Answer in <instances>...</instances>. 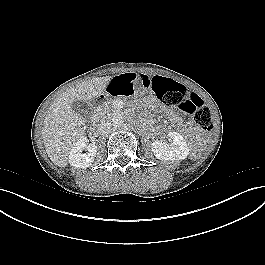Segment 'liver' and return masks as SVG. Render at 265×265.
Segmentation results:
<instances>
[{
  "instance_id": "1",
  "label": "liver",
  "mask_w": 265,
  "mask_h": 265,
  "mask_svg": "<svg viewBox=\"0 0 265 265\" xmlns=\"http://www.w3.org/2000/svg\"><path fill=\"white\" fill-rule=\"evenodd\" d=\"M111 79L106 76L83 81L66 90L50 107L43 122L42 138L48 156L58 167L67 166L71 149L86 129V120L72 109L73 103L99 97Z\"/></svg>"
}]
</instances>
